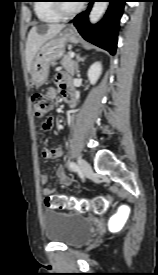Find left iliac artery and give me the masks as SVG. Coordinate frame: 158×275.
Returning <instances> with one entry per match:
<instances>
[{
    "label": "left iliac artery",
    "mask_w": 158,
    "mask_h": 275,
    "mask_svg": "<svg viewBox=\"0 0 158 275\" xmlns=\"http://www.w3.org/2000/svg\"><path fill=\"white\" fill-rule=\"evenodd\" d=\"M69 168H70V170L73 171V172L78 171V166L76 165V163H74V162H72V161L69 162Z\"/></svg>",
    "instance_id": "obj_1"
}]
</instances>
